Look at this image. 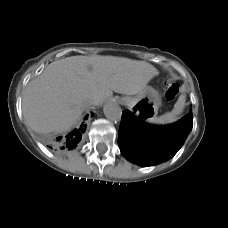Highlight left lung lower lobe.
I'll return each instance as SVG.
<instances>
[{"label": "left lung lower lobe", "instance_id": "obj_1", "mask_svg": "<svg viewBox=\"0 0 228 228\" xmlns=\"http://www.w3.org/2000/svg\"><path fill=\"white\" fill-rule=\"evenodd\" d=\"M193 126L192 111L174 124L154 126L144 118H134L124 110L119 128L118 145L122 154L141 166L168 160L183 146Z\"/></svg>", "mask_w": 228, "mask_h": 228}]
</instances>
